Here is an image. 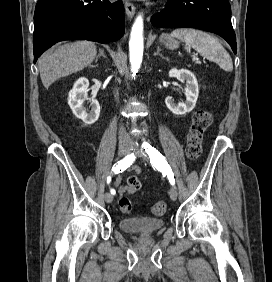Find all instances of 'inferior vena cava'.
Masks as SVG:
<instances>
[{"instance_id":"obj_1","label":"inferior vena cava","mask_w":272,"mask_h":282,"mask_svg":"<svg viewBox=\"0 0 272 282\" xmlns=\"http://www.w3.org/2000/svg\"><path fill=\"white\" fill-rule=\"evenodd\" d=\"M118 91L115 93L116 99H118ZM128 139V134L126 133V130L123 126H120L119 128V140Z\"/></svg>"}]
</instances>
